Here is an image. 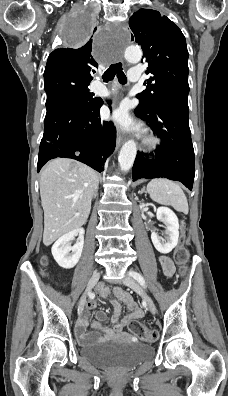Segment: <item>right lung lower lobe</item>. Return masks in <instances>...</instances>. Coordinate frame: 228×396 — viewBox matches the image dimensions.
Masks as SVG:
<instances>
[{
	"label": "right lung lower lobe",
	"instance_id": "98d812e1",
	"mask_svg": "<svg viewBox=\"0 0 228 396\" xmlns=\"http://www.w3.org/2000/svg\"><path fill=\"white\" fill-rule=\"evenodd\" d=\"M102 99L70 103L46 114L40 143L38 172L50 159H76L101 172L114 151L116 130L111 122L101 121ZM110 104V102H109Z\"/></svg>",
	"mask_w": 228,
	"mask_h": 396
}]
</instances>
